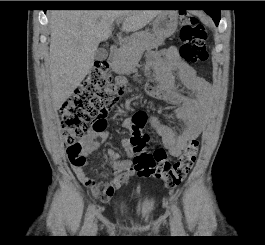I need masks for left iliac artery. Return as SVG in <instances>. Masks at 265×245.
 I'll list each match as a JSON object with an SVG mask.
<instances>
[{
  "mask_svg": "<svg viewBox=\"0 0 265 245\" xmlns=\"http://www.w3.org/2000/svg\"><path fill=\"white\" fill-rule=\"evenodd\" d=\"M172 211H173V216H174V220L176 222L178 231L184 232L182 219H181V213L176 204L172 205Z\"/></svg>",
  "mask_w": 265,
  "mask_h": 245,
  "instance_id": "1",
  "label": "left iliac artery"
}]
</instances>
